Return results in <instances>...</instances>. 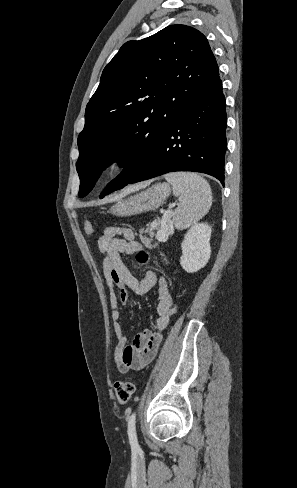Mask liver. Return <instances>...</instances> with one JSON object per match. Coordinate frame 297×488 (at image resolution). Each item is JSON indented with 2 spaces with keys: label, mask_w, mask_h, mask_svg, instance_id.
Instances as JSON below:
<instances>
[{
  "label": "liver",
  "mask_w": 297,
  "mask_h": 488,
  "mask_svg": "<svg viewBox=\"0 0 297 488\" xmlns=\"http://www.w3.org/2000/svg\"><path fill=\"white\" fill-rule=\"evenodd\" d=\"M147 184H140V185H137V186H133V187H130L126 190H124L121 194H116L114 195L113 197H109V200H117V199H120L122 198L125 194H128L134 190H137L139 188H142V187H145Z\"/></svg>",
  "instance_id": "1"
}]
</instances>
